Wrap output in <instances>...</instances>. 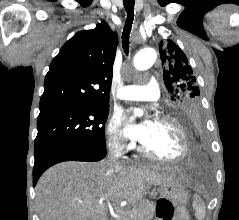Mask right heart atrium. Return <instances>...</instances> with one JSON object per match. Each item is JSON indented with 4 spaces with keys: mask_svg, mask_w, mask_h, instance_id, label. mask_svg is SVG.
I'll return each instance as SVG.
<instances>
[{
    "mask_svg": "<svg viewBox=\"0 0 239 220\" xmlns=\"http://www.w3.org/2000/svg\"><path fill=\"white\" fill-rule=\"evenodd\" d=\"M122 117L119 114H113L106 124V136L109 148L117 155H123L132 146L125 139L122 130Z\"/></svg>",
    "mask_w": 239,
    "mask_h": 220,
    "instance_id": "obj_1",
    "label": "right heart atrium"
}]
</instances>
